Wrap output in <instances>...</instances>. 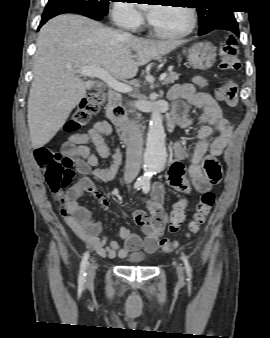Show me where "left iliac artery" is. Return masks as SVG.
I'll return each mask as SVG.
<instances>
[{
	"label": "left iliac artery",
	"instance_id": "left-iliac-artery-1",
	"mask_svg": "<svg viewBox=\"0 0 270 338\" xmlns=\"http://www.w3.org/2000/svg\"><path fill=\"white\" fill-rule=\"evenodd\" d=\"M143 192L144 193H148L150 191V183L149 182H146L143 187ZM181 259L183 260L184 262V265H185V268H186V272H187V275L188 277L190 278L191 277V267L189 265V262H188V258L185 254L182 253V256H181Z\"/></svg>",
	"mask_w": 270,
	"mask_h": 338
}]
</instances>
